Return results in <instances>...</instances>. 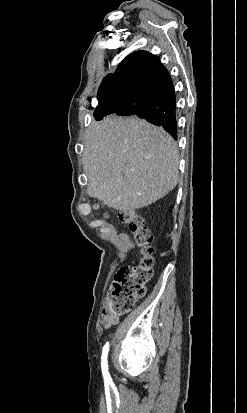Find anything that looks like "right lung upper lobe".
Returning <instances> with one entry per match:
<instances>
[{
  "label": "right lung upper lobe",
  "instance_id": "1",
  "mask_svg": "<svg viewBox=\"0 0 247 413\" xmlns=\"http://www.w3.org/2000/svg\"><path fill=\"white\" fill-rule=\"evenodd\" d=\"M164 68L159 58L146 51H137L128 55L118 66L114 74H108L102 82H127L133 74L141 71H158Z\"/></svg>",
  "mask_w": 247,
  "mask_h": 413
}]
</instances>
